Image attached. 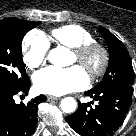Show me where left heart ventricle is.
<instances>
[{"label": "left heart ventricle", "instance_id": "obj_1", "mask_svg": "<svg viewBox=\"0 0 136 136\" xmlns=\"http://www.w3.org/2000/svg\"><path fill=\"white\" fill-rule=\"evenodd\" d=\"M98 60H99L98 54H94L89 58L88 64L89 65H94V64H96L98 62ZM72 61L77 62V58H76V56L74 54H73V57H72ZM82 68L85 70V68L83 66H82Z\"/></svg>", "mask_w": 136, "mask_h": 136}]
</instances>
